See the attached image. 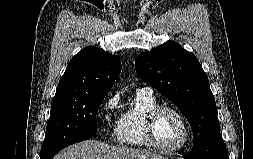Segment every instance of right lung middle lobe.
<instances>
[{
	"label": "right lung middle lobe",
	"instance_id": "dd1d6c3e",
	"mask_svg": "<svg viewBox=\"0 0 253 159\" xmlns=\"http://www.w3.org/2000/svg\"><path fill=\"white\" fill-rule=\"evenodd\" d=\"M105 95L79 94L53 98L40 159L97 132L96 114Z\"/></svg>",
	"mask_w": 253,
	"mask_h": 159
}]
</instances>
